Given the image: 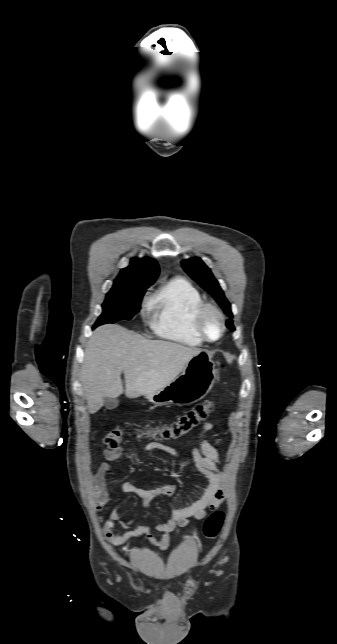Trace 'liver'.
<instances>
[{
  "instance_id": "1",
  "label": "liver",
  "mask_w": 337,
  "mask_h": 644,
  "mask_svg": "<svg viewBox=\"0 0 337 644\" xmlns=\"http://www.w3.org/2000/svg\"><path fill=\"white\" fill-rule=\"evenodd\" d=\"M201 351L175 342L149 340L116 324L97 328L85 348L81 369L89 412L99 411L104 398H116L124 392L121 372L126 397L137 398L171 383Z\"/></svg>"
}]
</instances>
